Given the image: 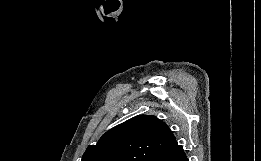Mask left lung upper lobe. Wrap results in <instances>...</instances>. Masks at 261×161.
Segmentation results:
<instances>
[{
    "instance_id": "obj_1",
    "label": "left lung upper lobe",
    "mask_w": 261,
    "mask_h": 161,
    "mask_svg": "<svg viewBox=\"0 0 261 161\" xmlns=\"http://www.w3.org/2000/svg\"><path fill=\"white\" fill-rule=\"evenodd\" d=\"M174 141L160 119L138 115L107 131L96 145H89L81 161H151Z\"/></svg>"
}]
</instances>
